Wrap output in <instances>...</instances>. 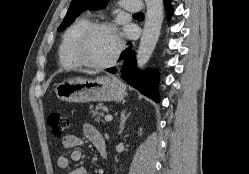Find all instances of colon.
Instances as JSON below:
<instances>
[{
    "instance_id": "5ec220e1",
    "label": "colon",
    "mask_w": 249,
    "mask_h": 174,
    "mask_svg": "<svg viewBox=\"0 0 249 174\" xmlns=\"http://www.w3.org/2000/svg\"><path fill=\"white\" fill-rule=\"evenodd\" d=\"M47 123L56 138L63 137L70 129L69 119L59 112H50L47 116Z\"/></svg>"
}]
</instances>
